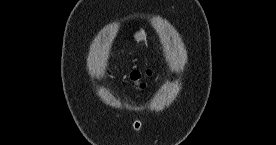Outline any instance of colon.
<instances>
[{"label":"colon","instance_id":"5ec220e1","mask_svg":"<svg viewBox=\"0 0 276 145\" xmlns=\"http://www.w3.org/2000/svg\"><path fill=\"white\" fill-rule=\"evenodd\" d=\"M151 75V71L150 70H133L130 73V78L132 81L134 82H139L142 78L146 77V76H150Z\"/></svg>","mask_w":276,"mask_h":145}]
</instances>
